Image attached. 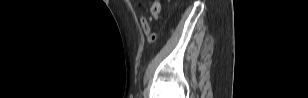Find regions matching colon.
Listing matches in <instances>:
<instances>
[{
  "mask_svg": "<svg viewBox=\"0 0 308 98\" xmlns=\"http://www.w3.org/2000/svg\"><path fill=\"white\" fill-rule=\"evenodd\" d=\"M160 11V7H159V4L155 3L153 6H152V13L153 14H158ZM148 40L149 41H154L156 39V35L154 33H151L147 36Z\"/></svg>",
  "mask_w": 308,
  "mask_h": 98,
  "instance_id": "5ec220e1",
  "label": "colon"
}]
</instances>
